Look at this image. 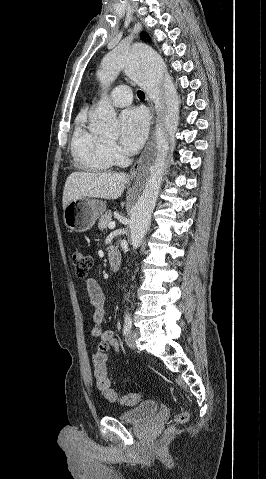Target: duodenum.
<instances>
[{
    "label": "duodenum",
    "mask_w": 266,
    "mask_h": 479,
    "mask_svg": "<svg viewBox=\"0 0 266 479\" xmlns=\"http://www.w3.org/2000/svg\"><path fill=\"white\" fill-rule=\"evenodd\" d=\"M108 259L111 270L118 272L121 265V255L117 247H111L108 251Z\"/></svg>",
    "instance_id": "duodenum-1"
}]
</instances>
